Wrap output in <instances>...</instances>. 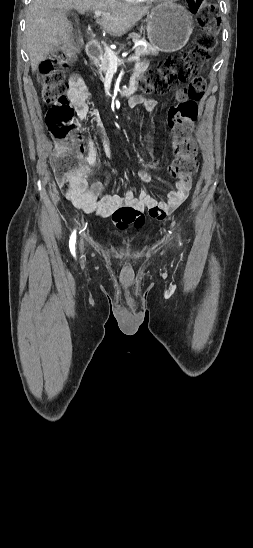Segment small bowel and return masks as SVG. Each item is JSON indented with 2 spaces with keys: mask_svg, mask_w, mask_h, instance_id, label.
<instances>
[{
  "mask_svg": "<svg viewBox=\"0 0 253 548\" xmlns=\"http://www.w3.org/2000/svg\"><path fill=\"white\" fill-rule=\"evenodd\" d=\"M146 69V63L140 62L136 66V76L141 75ZM67 97L75 108L78 117L83 120L89 113L88 100L89 89L84 79L79 74H73L69 78V89ZM130 107H142L146 111H153L157 108L158 102L153 98L145 97L142 94H135L129 99ZM92 116L96 122L101 135V142L105 157L111 161L112 152L109 140L104 133L100 123L99 115L93 111ZM177 137L174 136L172 148L177 147ZM98 162V150L92 138L87 139L86 156L80 159L79 165L71 176L68 184L59 185L72 205L85 213H97L102 217L113 216V221L119 228H125L129 224L141 227L144 223L143 212L148 211L149 215L157 220L164 219L169 213L178 208L188 197L191 189V180L181 176L177 178L176 190L168 193L166 200L159 201L146 190L138 195L132 191H126L124 195L107 194L102 195L104 185L100 181L89 184V177L93 173V167ZM139 179L147 184L152 183L151 176L144 170L138 172Z\"/></svg>",
  "mask_w": 253,
  "mask_h": 548,
  "instance_id": "small-bowel-1",
  "label": "small bowel"
}]
</instances>
